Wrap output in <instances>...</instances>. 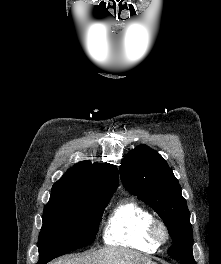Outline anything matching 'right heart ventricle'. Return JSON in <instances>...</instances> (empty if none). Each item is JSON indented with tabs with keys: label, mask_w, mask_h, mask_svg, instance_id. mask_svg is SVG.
I'll return each mask as SVG.
<instances>
[{
	"label": "right heart ventricle",
	"mask_w": 221,
	"mask_h": 264,
	"mask_svg": "<svg viewBox=\"0 0 221 264\" xmlns=\"http://www.w3.org/2000/svg\"><path fill=\"white\" fill-rule=\"evenodd\" d=\"M153 216L134 199L119 201L110 212L103 229L105 244L153 253L158 249L149 236Z\"/></svg>",
	"instance_id": "e07e8e85"
}]
</instances>
